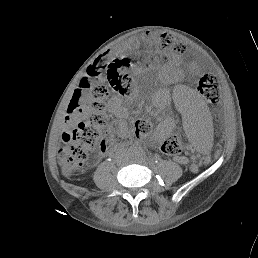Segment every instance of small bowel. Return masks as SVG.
Returning a JSON list of instances; mask_svg holds the SVG:
<instances>
[{
	"instance_id": "1",
	"label": "small bowel",
	"mask_w": 258,
	"mask_h": 258,
	"mask_svg": "<svg viewBox=\"0 0 258 258\" xmlns=\"http://www.w3.org/2000/svg\"><path fill=\"white\" fill-rule=\"evenodd\" d=\"M137 46H138V41H137V39H131V40L127 43L126 49H133V48H136ZM179 161L185 162V161H187V159L184 158V157H180V158H179Z\"/></svg>"
}]
</instances>
